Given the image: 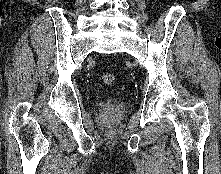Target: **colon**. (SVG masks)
Wrapping results in <instances>:
<instances>
[{"mask_svg":"<svg viewBox=\"0 0 221 174\" xmlns=\"http://www.w3.org/2000/svg\"><path fill=\"white\" fill-rule=\"evenodd\" d=\"M102 80L106 85H113L115 82V75L110 72H105L102 74Z\"/></svg>","mask_w":221,"mask_h":174,"instance_id":"obj_1","label":"colon"}]
</instances>
